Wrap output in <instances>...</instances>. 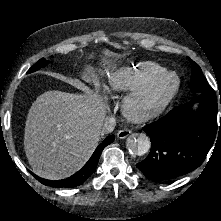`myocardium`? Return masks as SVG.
Returning a JSON list of instances; mask_svg holds the SVG:
<instances>
[{
    "instance_id": "f54148a6",
    "label": "myocardium",
    "mask_w": 221,
    "mask_h": 221,
    "mask_svg": "<svg viewBox=\"0 0 221 221\" xmlns=\"http://www.w3.org/2000/svg\"><path fill=\"white\" fill-rule=\"evenodd\" d=\"M171 79L173 83L166 93L160 97H155L156 89ZM179 88V77L173 72H166L146 87L132 92L125 99L124 111L134 121H144L157 117L172 103Z\"/></svg>"
}]
</instances>
